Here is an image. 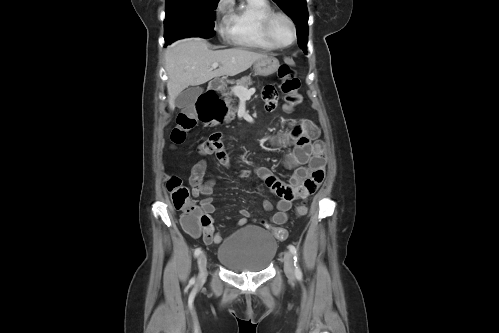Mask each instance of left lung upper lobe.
I'll return each mask as SVG.
<instances>
[{
  "mask_svg": "<svg viewBox=\"0 0 499 333\" xmlns=\"http://www.w3.org/2000/svg\"><path fill=\"white\" fill-rule=\"evenodd\" d=\"M276 4L289 15L297 28L298 44L304 52L307 51L308 11L306 0H274Z\"/></svg>",
  "mask_w": 499,
  "mask_h": 333,
  "instance_id": "left-lung-upper-lobe-1",
  "label": "left lung upper lobe"
}]
</instances>
